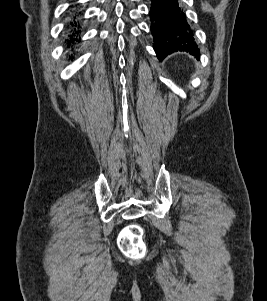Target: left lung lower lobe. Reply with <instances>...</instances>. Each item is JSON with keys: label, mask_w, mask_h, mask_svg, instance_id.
I'll return each instance as SVG.
<instances>
[{"label": "left lung lower lobe", "mask_w": 267, "mask_h": 301, "mask_svg": "<svg viewBox=\"0 0 267 301\" xmlns=\"http://www.w3.org/2000/svg\"><path fill=\"white\" fill-rule=\"evenodd\" d=\"M149 14L153 48L159 60L175 51H185L199 59L198 46L178 0H152Z\"/></svg>", "instance_id": "1"}]
</instances>
